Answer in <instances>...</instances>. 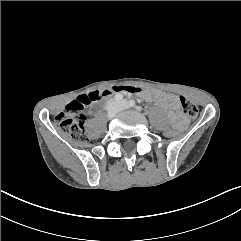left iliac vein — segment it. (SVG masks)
<instances>
[{
  "label": "left iliac vein",
  "instance_id": "4c4485c4",
  "mask_svg": "<svg viewBox=\"0 0 241 241\" xmlns=\"http://www.w3.org/2000/svg\"><path fill=\"white\" fill-rule=\"evenodd\" d=\"M120 105H121L122 109H127V108H129V105H128V103H127L126 101H122V102L120 103Z\"/></svg>",
  "mask_w": 241,
  "mask_h": 241
}]
</instances>
